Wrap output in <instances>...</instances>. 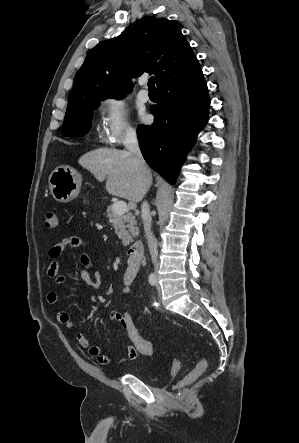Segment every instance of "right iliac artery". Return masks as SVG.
I'll use <instances>...</instances> for the list:
<instances>
[{"label": "right iliac artery", "mask_w": 299, "mask_h": 443, "mask_svg": "<svg viewBox=\"0 0 299 443\" xmlns=\"http://www.w3.org/2000/svg\"><path fill=\"white\" fill-rule=\"evenodd\" d=\"M149 283H150L152 286L156 285V283H157V278H156L155 274H150V276H149Z\"/></svg>", "instance_id": "1"}]
</instances>
